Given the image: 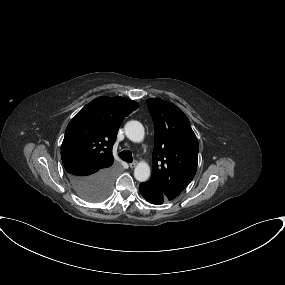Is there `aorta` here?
<instances>
[{
  "label": "aorta",
  "mask_w": 285,
  "mask_h": 285,
  "mask_svg": "<svg viewBox=\"0 0 285 285\" xmlns=\"http://www.w3.org/2000/svg\"><path fill=\"white\" fill-rule=\"evenodd\" d=\"M125 134L132 142L139 143L143 141L145 131L139 121H129L125 125ZM134 177L139 182H145L150 177V167L146 162H139L134 169Z\"/></svg>",
  "instance_id": "obj_1"
}]
</instances>
